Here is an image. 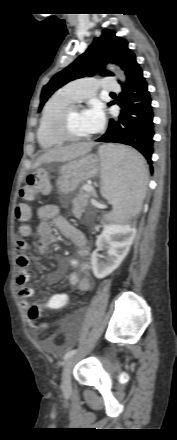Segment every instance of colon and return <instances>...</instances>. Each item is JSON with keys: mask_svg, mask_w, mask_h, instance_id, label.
<instances>
[{"mask_svg": "<svg viewBox=\"0 0 177 440\" xmlns=\"http://www.w3.org/2000/svg\"><path fill=\"white\" fill-rule=\"evenodd\" d=\"M50 190L48 174L44 170H40L26 178L25 186L20 190V195L26 199H32L36 193H48ZM15 216L18 221H25L28 218V210L24 204L18 205L15 210ZM19 231H24L20 228ZM41 306L45 311H66L68 308L67 298H44ZM41 308L34 304L29 308L28 318L34 323L39 315ZM54 346H59V341H54Z\"/></svg>", "mask_w": 177, "mask_h": 440, "instance_id": "1", "label": "colon"}]
</instances>
